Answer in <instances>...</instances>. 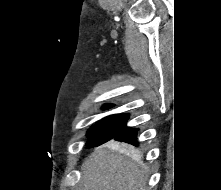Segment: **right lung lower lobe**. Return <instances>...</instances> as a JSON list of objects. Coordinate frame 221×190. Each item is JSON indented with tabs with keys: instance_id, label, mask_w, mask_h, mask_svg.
Wrapping results in <instances>:
<instances>
[{
	"instance_id": "98d812e1",
	"label": "right lung lower lobe",
	"mask_w": 221,
	"mask_h": 190,
	"mask_svg": "<svg viewBox=\"0 0 221 190\" xmlns=\"http://www.w3.org/2000/svg\"><path fill=\"white\" fill-rule=\"evenodd\" d=\"M138 129L126 126L113 139L119 142H127L134 146H139L137 141Z\"/></svg>"
}]
</instances>
